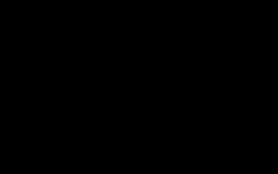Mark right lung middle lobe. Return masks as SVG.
Returning a JSON list of instances; mask_svg holds the SVG:
<instances>
[{"instance_id": "right-lung-middle-lobe-1", "label": "right lung middle lobe", "mask_w": 278, "mask_h": 174, "mask_svg": "<svg viewBox=\"0 0 278 174\" xmlns=\"http://www.w3.org/2000/svg\"><path fill=\"white\" fill-rule=\"evenodd\" d=\"M120 31L119 25L100 23H90L77 30L56 55L53 77L70 70L114 75L111 52Z\"/></svg>"}]
</instances>
